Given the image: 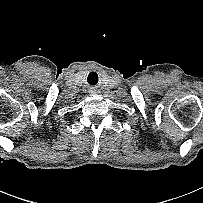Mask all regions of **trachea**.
<instances>
[{
    "label": "trachea",
    "mask_w": 203,
    "mask_h": 203,
    "mask_svg": "<svg viewBox=\"0 0 203 203\" xmlns=\"http://www.w3.org/2000/svg\"><path fill=\"white\" fill-rule=\"evenodd\" d=\"M91 74H95V73H94V72H92ZM91 74H90V75H91ZM87 80H88V79H87ZM90 84H91V83H90Z\"/></svg>",
    "instance_id": "trachea-1"
}]
</instances>
